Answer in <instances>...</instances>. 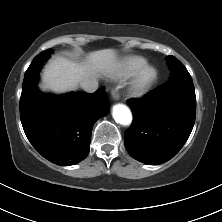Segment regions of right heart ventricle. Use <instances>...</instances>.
I'll list each match as a JSON object with an SVG mask.
<instances>
[{"label":"right heart ventricle","mask_w":222,"mask_h":222,"mask_svg":"<svg viewBox=\"0 0 222 222\" xmlns=\"http://www.w3.org/2000/svg\"><path fill=\"white\" fill-rule=\"evenodd\" d=\"M145 64L146 60L141 56H127L114 66L112 75L118 79L125 78L135 74Z\"/></svg>","instance_id":"obj_1"}]
</instances>
